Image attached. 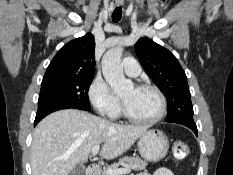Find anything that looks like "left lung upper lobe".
Listing matches in <instances>:
<instances>
[{"mask_svg":"<svg viewBox=\"0 0 233 175\" xmlns=\"http://www.w3.org/2000/svg\"><path fill=\"white\" fill-rule=\"evenodd\" d=\"M135 49L145 72L166 96V121L194 122L187 77L177 58L147 38L139 39Z\"/></svg>","mask_w":233,"mask_h":175,"instance_id":"5c2ea615","label":"left lung upper lobe"}]
</instances>
